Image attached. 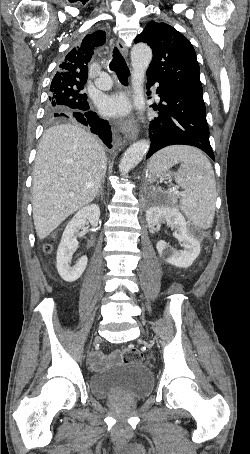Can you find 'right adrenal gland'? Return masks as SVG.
<instances>
[{
  "instance_id": "2a0ac1e0",
  "label": "right adrenal gland",
  "mask_w": 250,
  "mask_h": 454,
  "mask_svg": "<svg viewBox=\"0 0 250 454\" xmlns=\"http://www.w3.org/2000/svg\"><path fill=\"white\" fill-rule=\"evenodd\" d=\"M104 181L105 180L103 179V181L101 183V186L99 188V191H98V193L96 195L97 198H99V197H101L102 199L104 198V192H103Z\"/></svg>"
}]
</instances>
